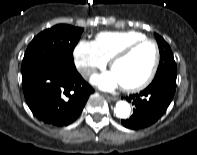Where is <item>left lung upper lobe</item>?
Wrapping results in <instances>:
<instances>
[{
    "mask_svg": "<svg viewBox=\"0 0 197 155\" xmlns=\"http://www.w3.org/2000/svg\"><path fill=\"white\" fill-rule=\"evenodd\" d=\"M158 43L160 50V64L155 75L154 80L156 79H170L176 81L177 77V66L174 61V57L169 45L166 41L159 36L154 34Z\"/></svg>",
    "mask_w": 197,
    "mask_h": 155,
    "instance_id": "obj_1",
    "label": "left lung upper lobe"
}]
</instances>
